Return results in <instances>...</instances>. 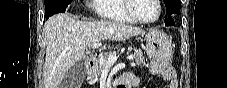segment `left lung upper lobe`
Returning <instances> with one entry per match:
<instances>
[{
	"mask_svg": "<svg viewBox=\"0 0 227 88\" xmlns=\"http://www.w3.org/2000/svg\"><path fill=\"white\" fill-rule=\"evenodd\" d=\"M168 15L178 13L180 11V0H163Z\"/></svg>",
	"mask_w": 227,
	"mask_h": 88,
	"instance_id": "5c2ea615",
	"label": "left lung upper lobe"
}]
</instances>
